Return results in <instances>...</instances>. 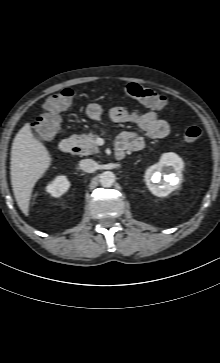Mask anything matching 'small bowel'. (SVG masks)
I'll list each match as a JSON object with an SVG mask.
<instances>
[{"label": "small bowel", "mask_w": 220, "mask_h": 363, "mask_svg": "<svg viewBox=\"0 0 220 363\" xmlns=\"http://www.w3.org/2000/svg\"><path fill=\"white\" fill-rule=\"evenodd\" d=\"M86 114L92 120H99L103 116H107L112 122L136 124L144 132L143 135L124 131L117 138V147L132 151L142 149L146 139H161L170 132L168 122L162 119L155 110L136 112L128 111L122 107L105 109L98 103H91L86 109Z\"/></svg>", "instance_id": "small-bowel-1"}]
</instances>
